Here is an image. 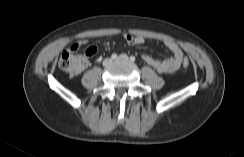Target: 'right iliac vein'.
Here are the masks:
<instances>
[{"mask_svg": "<svg viewBox=\"0 0 244 157\" xmlns=\"http://www.w3.org/2000/svg\"><path fill=\"white\" fill-rule=\"evenodd\" d=\"M112 63V60L110 59V58H106V59H104V61H103V65L104 66H108V65H110Z\"/></svg>", "mask_w": 244, "mask_h": 157, "instance_id": "1", "label": "right iliac vein"}]
</instances>
